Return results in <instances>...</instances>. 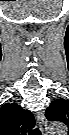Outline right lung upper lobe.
Wrapping results in <instances>:
<instances>
[{
    "instance_id": "right-lung-upper-lobe-1",
    "label": "right lung upper lobe",
    "mask_w": 69,
    "mask_h": 135,
    "mask_svg": "<svg viewBox=\"0 0 69 135\" xmlns=\"http://www.w3.org/2000/svg\"><path fill=\"white\" fill-rule=\"evenodd\" d=\"M35 119L32 113L15 103L0 108V126L3 135H25L26 129L33 128Z\"/></svg>"
}]
</instances>
